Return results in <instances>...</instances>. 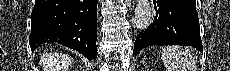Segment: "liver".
I'll list each match as a JSON object with an SVG mask.
<instances>
[{
  "label": "liver",
  "instance_id": "6515ba94",
  "mask_svg": "<svg viewBox=\"0 0 230 71\" xmlns=\"http://www.w3.org/2000/svg\"><path fill=\"white\" fill-rule=\"evenodd\" d=\"M44 71H67L71 66V59L66 55L47 54L40 60Z\"/></svg>",
  "mask_w": 230,
  "mask_h": 71
}]
</instances>
